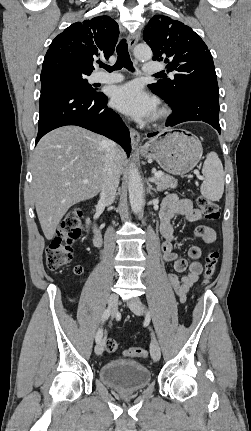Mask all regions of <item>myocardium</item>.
<instances>
[{
  "instance_id": "myocardium-1",
  "label": "myocardium",
  "mask_w": 251,
  "mask_h": 431,
  "mask_svg": "<svg viewBox=\"0 0 251 431\" xmlns=\"http://www.w3.org/2000/svg\"><path fill=\"white\" fill-rule=\"evenodd\" d=\"M168 116H169V110L166 107L161 106L155 111L152 120L155 123H158V122L164 121Z\"/></svg>"
}]
</instances>
